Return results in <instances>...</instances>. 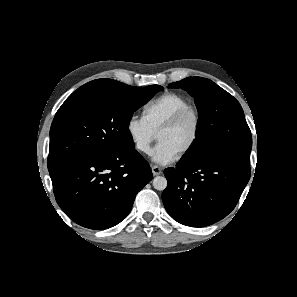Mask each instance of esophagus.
Segmentation results:
<instances>
[{
	"label": "esophagus",
	"mask_w": 297,
	"mask_h": 297,
	"mask_svg": "<svg viewBox=\"0 0 297 297\" xmlns=\"http://www.w3.org/2000/svg\"><path fill=\"white\" fill-rule=\"evenodd\" d=\"M151 170L154 176H158L162 172L161 168L155 165L151 167Z\"/></svg>",
	"instance_id": "obj_1"
}]
</instances>
